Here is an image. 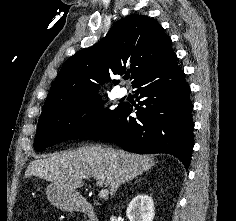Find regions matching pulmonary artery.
<instances>
[{"label": "pulmonary artery", "mask_w": 236, "mask_h": 221, "mask_svg": "<svg viewBox=\"0 0 236 221\" xmlns=\"http://www.w3.org/2000/svg\"><path fill=\"white\" fill-rule=\"evenodd\" d=\"M127 94H128V90H127V88H125V87H121V88L118 90V95H119V97H125V96H127Z\"/></svg>", "instance_id": "obj_1"}]
</instances>
